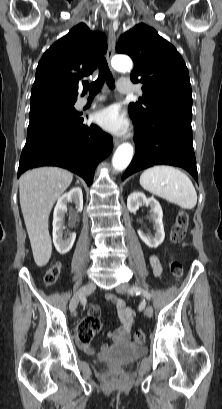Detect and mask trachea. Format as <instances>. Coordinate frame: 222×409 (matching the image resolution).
Here are the masks:
<instances>
[{
    "mask_svg": "<svg viewBox=\"0 0 222 409\" xmlns=\"http://www.w3.org/2000/svg\"><path fill=\"white\" fill-rule=\"evenodd\" d=\"M105 81L110 88H114L113 76L109 70L106 59L102 57L99 63V76L97 80L91 84H85V87L90 91V95H96L101 90Z\"/></svg>",
    "mask_w": 222,
    "mask_h": 409,
    "instance_id": "obj_1",
    "label": "trachea"
}]
</instances>
